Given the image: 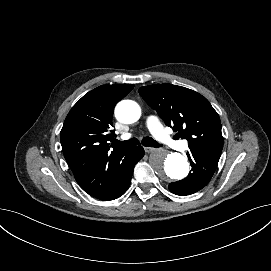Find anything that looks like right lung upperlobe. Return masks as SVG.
<instances>
[{
    "label": "right lung upper lobe",
    "instance_id": "right-lung-upper-lobe-1",
    "mask_svg": "<svg viewBox=\"0 0 271 271\" xmlns=\"http://www.w3.org/2000/svg\"><path fill=\"white\" fill-rule=\"evenodd\" d=\"M131 84L102 85L84 95L70 110L62 130L60 141L65 159L75 179L79 180L110 155L124 148L112 146L107 141L114 139L112 125L115 105L132 89Z\"/></svg>",
    "mask_w": 271,
    "mask_h": 271
}]
</instances>
